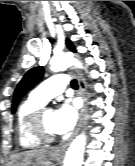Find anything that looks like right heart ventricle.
<instances>
[{
  "label": "right heart ventricle",
  "instance_id": "e07e8e85",
  "mask_svg": "<svg viewBox=\"0 0 135 166\" xmlns=\"http://www.w3.org/2000/svg\"><path fill=\"white\" fill-rule=\"evenodd\" d=\"M45 105L42 101L30 95L18 107L16 113V137L21 147L33 149L39 147L42 142L36 139L30 132L28 121L30 116Z\"/></svg>",
  "mask_w": 135,
  "mask_h": 166
}]
</instances>
